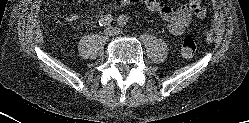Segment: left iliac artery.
<instances>
[{
  "mask_svg": "<svg viewBox=\"0 0 249 123\" xmlns=\"http://www.w3.org/2000/svg\"><path fill=\"white\" fill-rule=\"evenodd\" d=\"M127 22H128V18L125 15L119 16L118 21H117L118 25L121 27L125 26Z\"/></svg>",
  "mask_w": 249,
  "mask_h": 123,
  "instance_id": "obj_1",
  "label": "left iliac artery"
}]
</instances>
